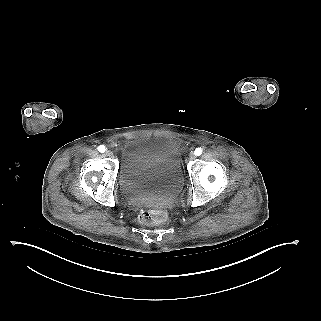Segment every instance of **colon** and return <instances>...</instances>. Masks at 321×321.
<instances>
[{
	"instance_id": "5ec220e1",
	"label": "colon",
	"mask_w": 321,
	"mask_h": 321,
	"mask_svg": "<svg viewBox=\"0 0 321 321\" xmlns=\"http://www.w3.org/2000/svg\"><path fill=\"white\" fill-rule=\"evenodd\" d=\"M167 213L162 209L144 210L139 215V220L146 225H159L166 221Z\"/></svg>"
}]
</instances>
